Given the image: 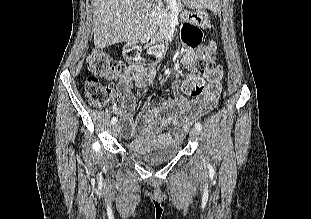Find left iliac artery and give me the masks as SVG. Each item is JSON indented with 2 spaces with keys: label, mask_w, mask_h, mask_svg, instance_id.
<instances>
[{
  "label": "left iliac artery",
  "mask_w": 311,
  "mask_h": 219,
  "mask_svg": "<svg viewBox=\"0 0 311 219\" xmlns=\"http://www.w3.org/2000/svg\"><path fill=\"white\" fill-rule=\"evenodd\" d=\"M195 128H196L198 131H201V130H202V125H201L199 122H197V123H195Z\"/></svg>",
  "instance_id": "obj_1"
}]
</instances>
